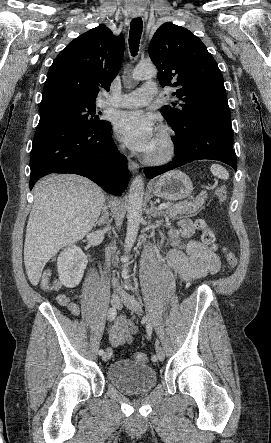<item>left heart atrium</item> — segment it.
Here are the masks:
<instances>
[{
	"instance_id": "left-heart-atrium-1",
	"label": "left heart atrium",
	"mask_w": 271,
	"mask_h": 443,
	"mask_svg": "<svg viewBox=\"0 0 271 443\" xmlns=\"http://www.w3.org/2000/svg\"><path fill=\"white\" fill-rule=\"evenodd\" d=\"M115 132L135 152H150L155 127L152 117L141 110L120 112L115 121Z\"/></svg>"
}]
</instances>
